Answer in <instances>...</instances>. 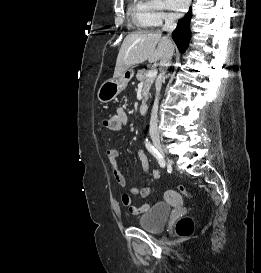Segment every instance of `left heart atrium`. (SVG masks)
I'll return each instance as SVG.
<instances>
[{
	"label": "left heart atrium",
	"mask_w": 261,
	"mask_h": 273,
	"mask_svg": "<svg viewBox=\"0 0 261 273\" xmlns=\"http://www.w3.org/2000/svg\"><path fill=\"white\" fill-rule=\"evenodd\" d=\"M168 5L176 12H181L188 7L189 0H166Z\"/></svg>",
	"instance_id": "obj_1"
}]
</instances>
